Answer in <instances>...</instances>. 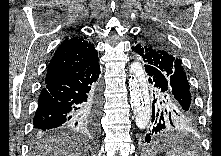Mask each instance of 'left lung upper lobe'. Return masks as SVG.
<instances>
[{
    "label": "left lung upper lobe",
    "instance_id": "obj_1",
    "mask_svg": "<svg viewBox=\"0 0 221 156\" xmlns=\"http://www.w3.org/2000/svg\"><path fill=\"white\" fill-rule=\"evenodd\" d=\"M135 43L133 50L138 53L145 66L166 71L171 77L174 97L186 110L195 112L190 86L181 60L174 55L166 41L156 32L149 31Z\"/></svg>",
    "mask_w": 221,
    "mask_h": 156
}]
</instances>
